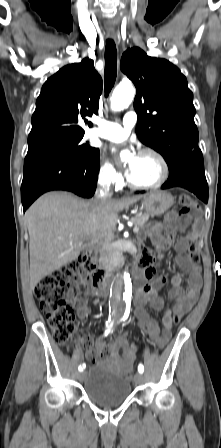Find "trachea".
I'll return each mask as SVG.
<instances>
[{
    "label": "trachea",
    "instance_id": "trachea-1",
    "mask_svg": "<svg viewBox=\"0 0 221 448\" xmlns=\"http://www.w3.org/2000/svg\"><path fill=\"white\" fill-rule=\"evenodd\" d=\"M117 76V50L112 39L106 41L105 48V97H107L114 86Z\"/></svg>",
    "mask_w": 221,
    "mask_h": 448
}]
</instances>
